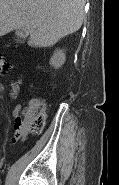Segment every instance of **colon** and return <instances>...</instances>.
I'll return each instance as SVG.
<instances>
[{"label":"colon","instance_id":"colon-1","mask_svg":"<svg viewBox=\"0 0 119 185\" xmlns=\"http://www.w3.org/2000/svg\"><path fill=\"white\" fill-rule=\"evenodd\" d=\"M25 117L28 121V131L32 134L41 133L45 125V115L38 112L36 107L35 110H27Z\"/></svg>","mask_w":119,"mask_h":185}]
</instances>
